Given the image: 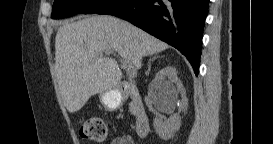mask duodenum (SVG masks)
Here are the masks:
<instances>
[{
  "label": "duodenum",
  "instance_id": "obj_1",
  "mask_svg": "<svg viewBox=\"0 0 273 144\" xmlns=\"http://www.w3.org/2000/svg\"><path fill=\"white\" fill-rule=\"evenodd\" d=\"M117 91L122 97H127L131 101L135 114V133L139 137H146L150 130V121L138 87L134 83L126 81L117 86Z\"/></svg>",
  "mask_w": 273,
  "mask_h": 144
}]
</instances>
